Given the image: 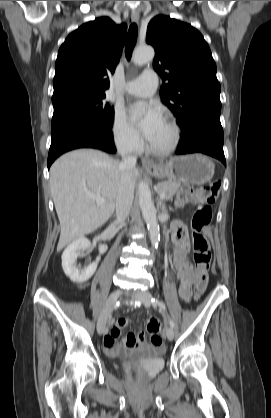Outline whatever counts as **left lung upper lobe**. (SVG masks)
Returning a JSON list of instances; mask_svg holds the SVG:
<instances>
[{"label":"left lung upper lobe","mask_w":271,"mask_h":418,"mask_svg":"<svg viewBox=\"0 0 271 418\" xmlns=\"http://www.w3.org/2000/svg\"><path fill=\"white\" fill-rule=\"evenodd\" d=\"M146 42L155 48V71L168 82L160 90L162 101L180 127L201 116L220 117L221 87L201 33L187 23L158 15L148 24Z\"/></svg>","instance_id":"1"}]
</instances>
